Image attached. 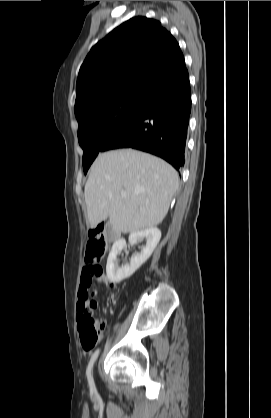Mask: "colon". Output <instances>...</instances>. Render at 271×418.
<instances>
[{"instance_id":"1","label":"colon","mask_w":271,"mask_h":418,"mask_svg":"<svg viewBox=\"0 0 271 418\" xmlns=\"http://www.w3.org/2000/svg\"><path fill=\"white\" fill-rule=\"evenodd\" d=\"M89 240L86 246V264H87V275L84 278V283L88 286L94 280H97L103 276V270L99 262L107 249V235L106 228L103 224L97 225L95 228L89 231ZM82 298L85 302H88L87 289L83 293ZM88 306L84 304V307ZM78 329L80 334V340L82 347L85 350L92 349L98 342L99 336L105 322L97 320L92 315V308L90 313H85L84 308L81 310L78 316Z\"/></svg>"}]
</instances>
